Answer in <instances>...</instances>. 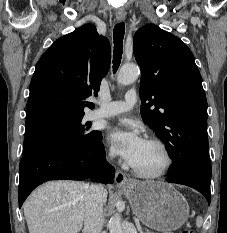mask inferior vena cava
Listing matches in <instances>:
<instances>
[{"label": "inferior vena cava", "mask_w": 227, "mask_h": 233, "mask_svg": "<svg viewBox=\"0 0 227 233\" xmlns=\"http://www.w3.org/2000/svg\"><path fill=\"white\" fill-rule=\"evenodd\" d=\"M104 187L101 184L88 186L85 195V233H101L104 225Z\"/></svg>", "instance_id": "obj_1"}]
</instances>
